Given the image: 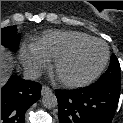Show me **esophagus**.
Listing matches in <instances>:
<instances>
[{"label": "esophagus", "instance_id": "1", "mask_svg": "<svg viewBox=\"0 0 123 123\" xmlns=\"http://www.w3.org/2000/svg\"><path fill=\"white\" fill-rule=\"evenodd\" d=\"M51 92H52V89L50 87H48L46 85H44L42 87V90H41L42 95H46V94L51 93Z\"/></svg>", "mask_w": 123, "mask_h": 123}]
</instances>
